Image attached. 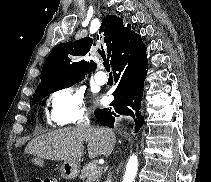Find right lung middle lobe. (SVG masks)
<instances>
[{
  "mask_svg": "<svg viewBox=\"0 0 211 182\" xmlns=\"http://www.w3.org/2000/svg\"><path fill=\"white\" fill-rule=\"evenodd\" d=\"M79 81H81V79L73 81V82H71L69 84L53 86V87H50V88H48L46 90H43V91H41L38 94L33 96L32 104L37 103L41 98H44L45 96H47V95H49V94H51V93H53L55 91H58V90L63 89V88H68V87L72 86L73 84H75V83H77Z\"/></svg>",
  "mask_w": 211,
  "mask_h": 182,
  "instance_id": "obj_1",
  "label": "right lung middle lobe"
}]
</instances>
